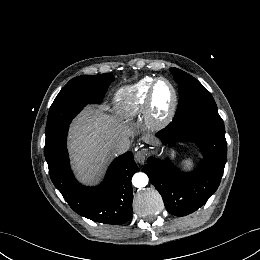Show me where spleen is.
<instances>
[{
  "instance_id": "3e777b00",
  "label": "spleen",
  "mask_w": 260,
  "mask_h": 260,
  "mask_svg": "<svg viewBox=\"0 0 260 260\" xmlns=\"http://www.w3.org/2000/svg\"><path fill=\"white\" fill-rule=\"evenodd\" d=\"M185 169L187 170H190L193 168L194 166V159L191 157V158H188V159H185L182 164H181Z\"/></svg>"
}]
</instances>
